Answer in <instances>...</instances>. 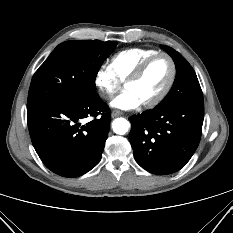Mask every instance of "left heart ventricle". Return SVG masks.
<instances>
[{
	"label": "left heart ventricle",
	"instance_id": "1",
	"mask_svg": "<svg viewBox=\"0 0 233 233\" xmlns=\"http://www.w3.org/2000/svg\"><path fill=\"white\" fill-rule=\"evenodd\" d=\"M170 75V62L165 57H160L149 65L137 82L127 85L125 90L134 93L140 102L144 103L160 94L166 86Z\"/></svg>",
	"mask_w": 233,
	"mask_h": 233
}]
</instances>
